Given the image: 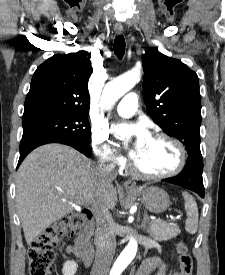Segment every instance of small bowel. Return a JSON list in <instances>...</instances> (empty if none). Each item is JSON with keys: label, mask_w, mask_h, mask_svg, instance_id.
Returning a JSON list of instances; mask_svg holds the SVG:
<instances>
[{"label": "small bowel", "mask_w": 225, "mask_h": 275, "mask_svg": "<svg viewBox=\"0 0 225 275\" xmlns=\"http://www.w3.org/2000/svg\"><path fill=\"white\" fill-rule=\"evenodd\" d=\"M66 253H75L74 245H70L66 249ZM161 260L157 257L150 258L146 260L137 271L136 275H150L156 272L155 275H165L163 271L160 270ZM173 275H180V273H175Z\"/></svg>", "instance_id": "obj_1"}]
</instances>
